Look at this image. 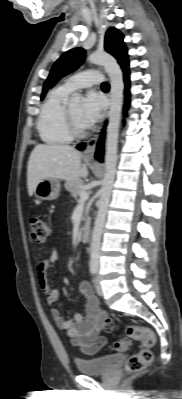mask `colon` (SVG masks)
Returning <instances> with one entry per match:
<instances>
[{
	"instance_id": "5ec220e1",
	"label": "colon",
	"mask_w": 182,
	"mask_h": 399,
	"mask_svg": "<svg viewBox=\"0 0 182 399\" xmlns=\"http://www.w3.org/2000/svg\"><path fill=\"white\" fill-rule=\"evenodd\" d=\"M31 237L35 242L43 243L50 234L49 223L40 215L34 214L29 219ZM137 340L141 347L128 358L125 364V370L128 373H136L143 370L152 361L151 348L155 345L156 337L154 332L144 326L130 325L126 329V337L117 340L112 349L117 352L126 351L131 340Z\"/></svg>"
}]
</instances>
